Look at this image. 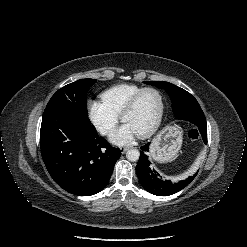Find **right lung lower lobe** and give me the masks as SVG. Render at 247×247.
Here are the masks:
<instances>
[{
	"label": "right lung lower lobe",
	"mask_w": 247,
	"mask_h": 247,
	"mask_svg": "<svg viewBox=\"0 0 247 247\" xmlns=\"http://www.w3.org/2000/svg\"><path fill=\"white\" fill-rule=\"evenodd\" d=\"M40 147L53 180L78 196L104 189L121 156L119 149L97 135L88 115L64 107L45 109Z\"/></svg>",
	"instance_id": "98d812e1"
}]
</instances>
